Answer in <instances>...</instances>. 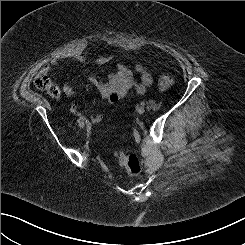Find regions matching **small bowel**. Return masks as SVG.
I'll return each mask as SVG.
<instances>
[{
    "mask_svg": "<svg viewBox=\"0 0 245 245\" xmlns=\"http://www.w3.org/2000/svg\"><path fill=\"white\" fill-rule=\"evenodd\" d=\"M109 59L110 57L108 56L100 57L95 60V63L98 65L105 64ZM76 61L84 65L87 63L88 57L82 53L76 57ZM56 65L57 60H51L50 66L55 67ZM47 69V67L44 68V71ZM135 73L140 75L139 82L135 80ZM82 75L96 88L103 99L111 103L124 98L132 88H135L139 94H144L153 82L152 76L141 65H136L131 69L124 63H119L117 70L111 73L106 81L99 80L94 74L88 71H83ZM63 93L68 97H72L75 95V89L71 85L65 84L63 86ZM71 111L76 115H81L76 103L72 104ZM102 119L103 115L98 113L91 116L89 122L95 124L99 123Z\"/></svg>",
    "mask_w": 245,
    "mask_h": 245,
    "instance_id": "1",
    "label": "small bowel"
}]
</instances>
